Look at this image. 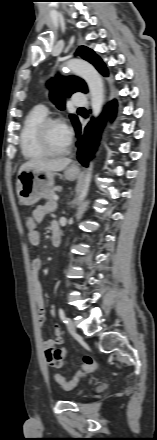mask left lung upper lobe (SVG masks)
I'll list each match as a JSON object with an SVG mask.
<instances>
[{"label":"left lung upper lobe","instance_id":"5c2ea615","mask_svg":"<svg viewBox=\"0 0 157 440\" xmlns=\"http://www.w3.org/2000/svg\"><path fill=\"white\" fill-rule=\"evenodd\" d=\"M77 54L93 64L103 76H108V70L104 62L91 49L85 46H80L77 49ZM49 88L51 100L57 105V108L61 110L65 108V98H68L72 93L77 91L87 93L88 91L86 83L76 76L57 77L55 80L49 82ZM70 119L72 120L74 127L79 124L76 115L71 114Z\"/></svg>","mask_w":157,"mask_h":440}]
</instances>
